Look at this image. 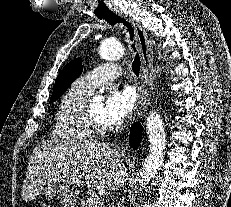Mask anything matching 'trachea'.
Listing matches in <instances>:
<instances>
[{
    "mask_svg": "<svg viewBox=\"0 0 231 207\" xmlns=\"http://www.w3.org/2000/svg\"><path fill=\"white\" fill-rule=\"evenodd\" d=\"M99 19H105L110 25H115L116 23H122L128 30L130 40H134V29L132 25L124 18L120 17L119 15L115 13H108L105 15L98 16ZM134 52H136L135 44L132 43L131 45ZM140 67H141V59L138 53H136L135 58L132 62V70L136 76H139L140 73Z\"/></svg>",
    "mask_w": 231,
    "mask_h": 207,
    "instance_id": "1",
    "label": "trachea"
}]
</instances>
